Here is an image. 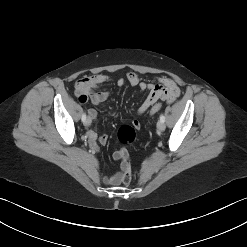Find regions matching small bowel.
Listing matches in <instances>:
<instances>
[{
    "instance_id": "small-bowel-1",
    "label": "small bowel",
    "mask_w": 247,
    "mask_h": 247,
    "mask_svg": "<svg viewBox=\"0 0 247 247\" xmlns=\"http://www.w3.org/2000/svg\"><path fill=\"white\" fill-rule=\"evenodd\" d=\"M109 80L110 77L104 74H93L83 77L76 82L75 94L81 103H86L88 101L95 105L103 103L109 97V92L95 91V89ZM127 81L132 86L139 88L140 91H148L147 97L138 108L139 115L144 114L159 100H164L167 103L174 102L180 94L178 85L168 77H160L158 83L148 84L142 81L136 73L130 72L127 75ZM125 82L126 80L124 78H119L117 80V85L123 86ZM89 115L94 119L96 117V111L90 109ZM88 136L92 140L98 139L101 144H106L108 141V136L106 134L98 136L96 132L89 131ZM114 158L116 160L121 159L119 151L114 153ZM121 175V173H117L111 177H104L103 180L108 184L118 185L121 181Z\"/></svg>"
}]
</instances>
